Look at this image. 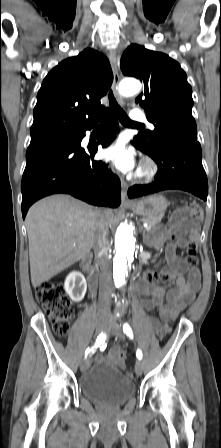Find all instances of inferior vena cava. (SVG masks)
<instances>
[{
  "mask_svg": "<svg viewBox=\"0 0 221 448\" xmlns=\"http://www.w3.org/2000/svg\"><path fill=\"white\" fill-rule=\"evenodd\" d=\"M109 227L105 221L103 210L97 211V224L95 237L93 242L94 254L98 260L100 267L99 283H100V304L99 312L108 314L110 312V296L111 288V263L109 260L110 245L108 241Z\"/></svg>",
  "mask_w": 221,
  "mask_h": 448,
  "instance_id": "inferior-vena-cava-1",
  "label": "inferior vena cava"
}]
</instances>
